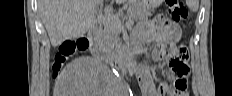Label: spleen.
I'll list each match as a JSON object with an SVG mask.
<instances>
[{"instance_id":"1","label":"spleen","mask_w":232,"mask_h":96,"mask_svg":"<svg viewBox=\"0 0 232 96\" xmlns=\"http://www.w3.org/2000/svg\"><path fill=\"white\" fill-rule=\"evenodd\" d=\"M186 4L190 11L197 12L199 8V0H186Z\"/></svg>"}]
</instances>
